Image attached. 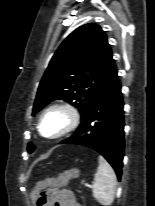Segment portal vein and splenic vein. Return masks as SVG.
<instances>
[{
    "instance_id": "obj_1",
    "label": "portal vein and splenic vein",
    "mask_w": 155,
    "mask_h": 206,
    "mask_svg": "<svg viewBox=\"0 0 155 206\" xmlns=\"http://www.w3.org/2000/svg\"><path fill=\"white\" fill-rule=\"evenodd\" d=\"M85 187H90L91 185L89 183H84Z\"/></svg>"
}]
</instances>
